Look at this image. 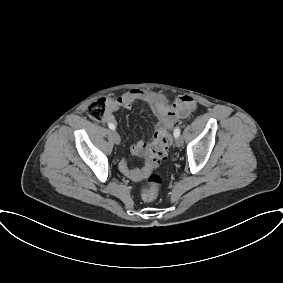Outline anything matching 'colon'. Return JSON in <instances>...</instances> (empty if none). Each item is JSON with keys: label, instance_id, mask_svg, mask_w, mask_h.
<instances>
[{"label": "colon", "instance_id": "1", "mask_svg": "<svg viewBox=\"0 0 283 283\" xmlns=\"http://www.w3.org/2000/svg\"><path fill=\"white\" fill-rule=\"evenodd\" d=\"M188 104H179L178 116L174 119L168 120L155 133L153 142L149 147V152L146 156V162L149 166H157L167 155L169 146L171 144V131L186 115ZM107 103L104 99H97L93 101L87 108V114L90 118L96 121H102L107 115ZM160 179L157 176L147 178L141 188V197L145 201H153L157 198L159 193Z\"/></svg>", "mask_w": 283, "mask_h": 283}]
</instances>
